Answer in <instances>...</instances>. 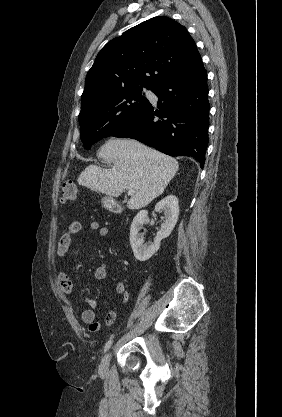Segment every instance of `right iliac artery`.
I'll return each instance as SVG.
<instances>
[{"label": "right iliac artery", "instance_id": "right-iliac-artery-1", "mask_svg": "<svg viewBox=\"0 0 282 417\" xmlns=\"http://www.w3.org/2000/svg\"><path fill=\"white\" fill-rule=\"evenodd\" d=\"M111 345H112V340H109V341L105 344V347H104V352H106L107 350H109V348L111 347Z\"/></svg>", "mask_w": 282, "mask_h": 417}]
</instances>
